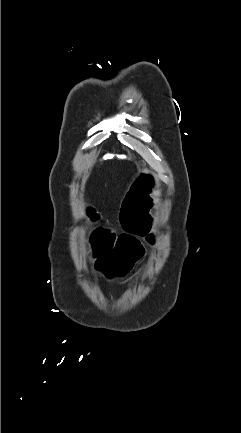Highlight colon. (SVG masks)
Instances as JSON below:
<instances>
[{"label": "colon", "instance_id": "obj_1", "mask_svg": "<svg viewBox=\"0 0 241 433\" xmlns=\"http://www.w3.org/2000/svg\"><path fill=\"white\" fill-rule=\"evenodd\" d=\"M149 170V167H146ZM144 171V168H141ZM138 178V179H137ZM129 186L123 189V200L120 201L121 225L128 230H115L114 225H96L91 230L90 237L93 239L95 254L91 263L98 272L114 270L119 274H125L133 263L141 255L140 239L137 234L146 233L158 223L156 218H147L150 208L154 206L151 200L156 198L155 190L160 187L153 172H139ZM86 221H102V212H86Z\"/></svg>", "mask_w": 241, "mask_h": 433}]
</instances>
